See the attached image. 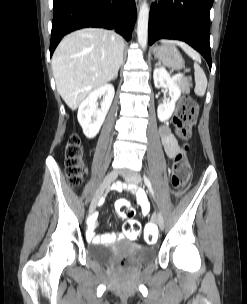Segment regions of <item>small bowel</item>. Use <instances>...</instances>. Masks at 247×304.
<instances>
[{
    "label": "small bowel",
    "instance_id": "c3829d8e",
    "mask_svg": "<svg viewBox=\"0 0 247 304\" xmlns=\"http://www.w3.org/2000/svg\"><path fill=\"white\" fill-rule=\"evenodd\" d=\"M160 136L166 155L170 159H175L176 156L180 153V148L178 146L177 140L175 139V137L170 131V128L167 125H162L160 127ZM125 188L136 196L141 209V213L143 215L148 214L150 211V203L148 201L146 193L143 190L137 189L132 186ZM99 225L100 223L96 219L92 222L86 233V237L89 241L93 243L109 242L115 240L116 238L124 237L123 234L115 235L113 233L98 235L96 234V229L99 227Z\"/></svg>",
    "mask_w": 247,
    "mask_h": 304
}]
</instances>
